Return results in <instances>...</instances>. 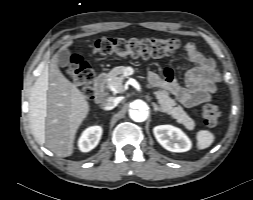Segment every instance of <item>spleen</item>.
Wrapping results in <instances>:
<instances>
[{
    "mask_svg": "<svg viewBox=\"0 0 253 200\" xmlns=\"http://www.w3.org/2000/svg\"><path fill=\"white\" fill-rule=\"evenodd\" d=\"M197 147L200 150L206 149L214 142V135L208 130H200L197 132Z\"/></svg>",
    "mask_w": 253,
    "mask_h": 200,
    "instance_id": "1",
    "label": "spleen"
}]
</instances>
